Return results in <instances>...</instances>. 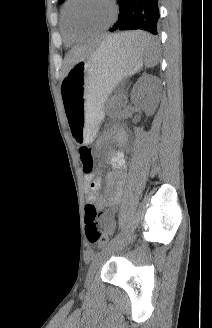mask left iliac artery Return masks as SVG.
Segmentation results:
<instances>
[{
    "mask_svg": "<svg viewBox=\"0 0 212 328\" xmlns=\"http://www.w3.org/2000/svg\"><path fill=\"white\" fill-rule=\"evenodd\" d=\"M122 235H123V231L120 232L119 234H117V235H116L111 241H109L106 245H104L102 249H104V248H106V247H109V246L115 244L116 242H118V241L121 239ZM97 254H98V253H97ZM97 254H96V255H97ZM96 255H95V256H96Z\"/></svg>",
    "mask_w": 212,
    "mask_h": 328,
    "instance_id": "44dca946",
    "label": "left iliac artery"
}]
</instances>
